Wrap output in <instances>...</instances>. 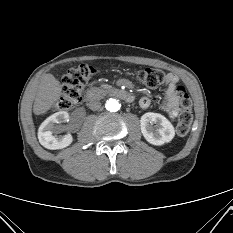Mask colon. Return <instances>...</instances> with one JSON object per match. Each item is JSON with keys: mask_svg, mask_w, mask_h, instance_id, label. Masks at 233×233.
I'll use <instances>...</instances> for the list:
<instances>
[{"mask_svg": "<svg viewBox=\"0 0 233 233\" xmlns=\"http://www.w3.org/2000/svg\"><path fill=\"white\" fill-rule=\"evenodd\" d=\"M94 74V68L81 64L68 70L63 79L62 94L57 102L59 110H68L82 100V93ZM140 82L148 88H156L164 81L162 71L153 68L139 70ZM176 93L180 100L181 110L178 115L177 133L186 135L192 123L193 115L191 100L183 87H178Z\"/></svg>", "mask_w": 233, "mask_h": 233, "instance_id": "1", "label": "colon"}]
</instances>
